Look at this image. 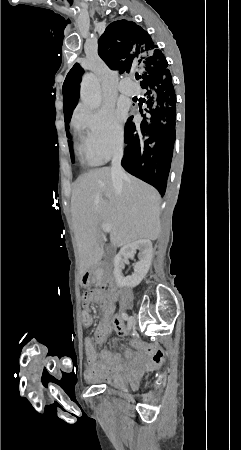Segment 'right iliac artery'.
Segmentation results:
<instances>
[{"label":"right iliac artery","mask_w":241,"mask_h":450,"mask_svg":"<svg viewBox=\"0 0 241 450\" xmlns=\"http://www.w3.org/2000/svg\"><path fill=\"white\" fill-rule=\"evenodd\" d=\"M122 318H123V320H127L128 319V315L126 313H122Z\"/></svg>","instance_id":"82829eb1"}]
</instances>
